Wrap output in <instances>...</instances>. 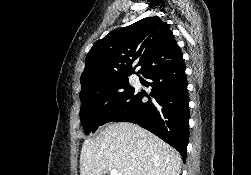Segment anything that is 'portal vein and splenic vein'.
Returning <instances> with one entry per match:
<instances>
[{
  "label": "portal vein and splenic vein",
  "instance_id": "18ae733b",
  "mask_svg": "<svg viewBox=\"0 0 251 175\" xmlns=\"http://www.w3.org/2000/svg\"><path fill=\"white\" fill-rule=\"evenodd\" d=\"M110 175H123V173H120V171H117V169H111Z\"/></svg>",
  "mask_w": 251,
  "mask_h": 175
}]
</instances>
